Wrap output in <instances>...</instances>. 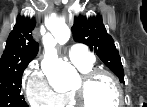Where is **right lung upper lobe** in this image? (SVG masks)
I'll return each instance as SVG.
<instances>
[{
    "label": "right lung upper lobe",
    "mask_w": 147,
    "mask_h": 107,
    "mask_svg": "<svg viewBox=\"0 0 147 107\" xmlns=\"http://www.w3.org/2000/svg\"><path fill=\"white\" fill-rule=\"evenodd\" d=\"M34 28V19L17 18L0 59V75L17 71L27 66L36 57L39 46L31 35Z\"/></svg>",
    "instance_id": "right-lung-upper-lobe-1"
}]
</instances>
